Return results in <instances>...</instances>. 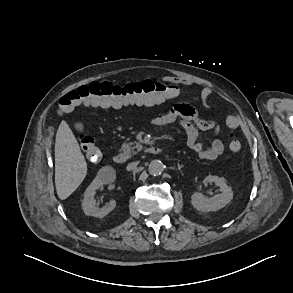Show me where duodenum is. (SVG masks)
Masks as SVG:
<instances>
[{"label":"duodenum","mask_w":293,"mask_h":293,"mask_svg":"<svg viewBox=\"0 0 293 293\" xmlns=\"http://www.w3.org/2000/svg\"><path fill=\"white\" fill-rule=\"evenodd\" d=\"M146 152L151 155H158L162 152V149L157 146H150L147 147ZM113 160L116 164L122 165L127 162L128 157L124 153H117L116 155H114Z\"/></svg>","instance_id":"duodenum-1"}]
</instances>
